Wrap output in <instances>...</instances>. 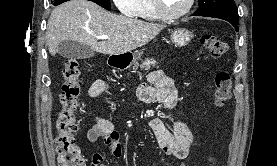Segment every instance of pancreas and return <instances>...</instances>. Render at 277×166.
Here are the masks:
<instances>
[{
  "label": "pancreas",
  "mask_w": 277,
  "mask_h": 166,
  "mask_svg": "<svg viewBox=\"0 0 277 166\" xmlns=\"http://www.w3.org/2000/svg\"><path fill=\"white\" fill-rule=\"evenodd\" d=\"M157 62L154 59H145V61L142 62L141 65L136 64L133 69L144 68L145 70H149L151 66H155Z\"/></svg>",
  "instance_id": "obj_1"
}]
</instances>
